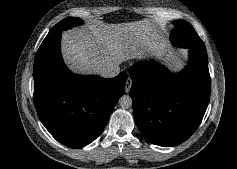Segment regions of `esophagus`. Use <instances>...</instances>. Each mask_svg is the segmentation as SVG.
I'll use <instances>...</instances> for the list:
<instances>
[{
  "mask_svg": "<svg viewBox=\"0 0 237 169\" xmlns=\"http://www.w3.org/2000/svg\"><path fill=\"white\" fill-rule=\"evenodd\" d=\"M131 85H132V80L130 78H127L126 87H125V91L127 93L130 91Z\"/></svg>",
  "mask_w": 237,
  "mask_h": 169,
  "instance_id": "34e87169",
  "label": "esophagus"
}]
</instances>
